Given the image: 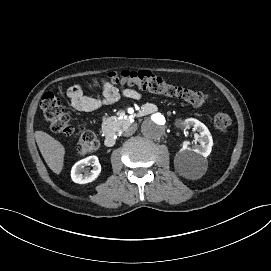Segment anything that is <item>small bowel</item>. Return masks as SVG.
Here are the masks:
<instances>
[{
	"label": "small bowel",
	"instance_id": "c3829d8e",
	"mask_svg": "<svg viewBox=\"0 0 271 271\" xmlns=\"http://www.w3.org/2000/svg\"><path fill=\"white\" fill-rule=\"evenodd\" d=\"M67 96L70 99L72 108L80 112L96 111L103 106L116 103L121 97L141 98V94L137 90L124 86H116L109 82L103 85L102 97L85 95L82 86L79 84L71 86L67 91ZM146 107H152V104H147Z\"/></svg>",
	"mask_w": 271,
	"mask_h": 271
}]
</instances>
